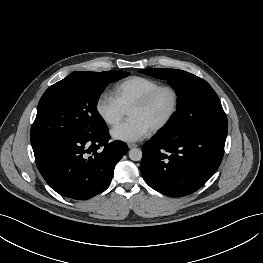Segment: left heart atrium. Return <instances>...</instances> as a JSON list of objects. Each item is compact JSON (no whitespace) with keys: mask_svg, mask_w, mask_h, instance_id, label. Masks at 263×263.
I'll return each instance as SVG.
<instances>
[{"mask_svg":"<svg viewBox=\"0 0 263 263\" xmlns=\"http://www.w3.org/2000/svg\"><path fill=\"white\" fill-rule=\"evenodd\" d=\"M151 128L138 118H129L111 131L114 139L123 142H135L149 135Z\"/></svg>","mask_w":263,"mask_h":263,"instance_id":"1","label":"left heart atrium"}]
</instances>
